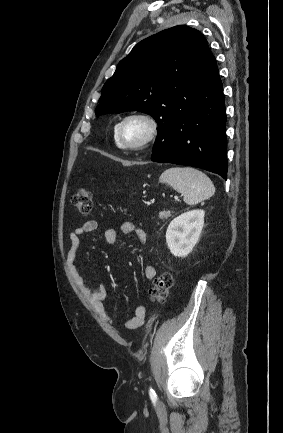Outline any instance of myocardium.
<instances>
[{"label":"myocardium","mask_w":283,"mask_h":433,"mask_svg":"<svg viewBox=\"0 0 283 433\" xmlns=\"http://www.w3.org/2000/svg\"><path fill=\"white\" fill-rule=\"evenodd\" d=\"M132 119H140L146 122L148 125V132L146 136L140 141L133 142V143H125L121 139V130L123 125L127 121ZM159 134H160L159 120L152 114L144 111H134L124 115L117 123L114 132L115 141L117 145L122 149L133 150V151L143 150L148 148L157 140Z\"/></svg>","instance_id":"1"}]
</instances>
